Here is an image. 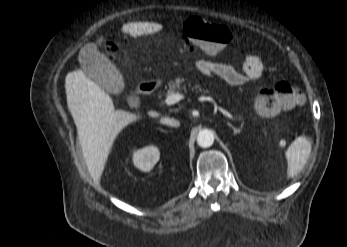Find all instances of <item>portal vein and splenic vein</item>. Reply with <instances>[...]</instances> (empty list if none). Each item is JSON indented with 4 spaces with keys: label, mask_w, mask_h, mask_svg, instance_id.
<instances>
[{
    "label": "portal vein and splenic vein",
    "mask_w": 347,
    "mask_h": 247,
    "mask_svg": "<svg viewBox=\"0 0 347 247\" xmlns=\"http://www.w3.org/2000/svg\"><path fill=\"white\" fill-rule=\"evenodd\" d=\"M182 99H184V95H182L181 93L177 92V93L168 95L167 98L165 99V104L168 105V106L174 105V104H176L177 102H179ZM204 100L213 101V99L210 98V97H205ZM218 109L226 117L230 118L232 116L227 110L223 109L222 107L219 106Z\"/></svg>",
    "instance_id": "obj_1"
}]
</instances>
